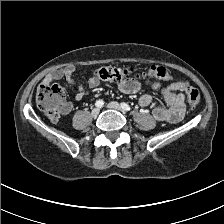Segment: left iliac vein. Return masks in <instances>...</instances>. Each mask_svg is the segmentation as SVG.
<instances>
[{
    "mask_svg": "<svg viewBox=\"0 0 224 224\" xmlns=\"http://www.w3.org/2000/svg\"><path fill=\"white\" fill-rule=\"evenodd\" d=\"M107 107L110 108V109H116V110H119L121 108L120 104L118 102H110L107 105Z\"/></svg>",
    "mask_w": 224,
    "mask_h": 224,
    "instance_id": "left-iliac-vein-1",
    "label": "left iliac vein"
}]
</instances>
